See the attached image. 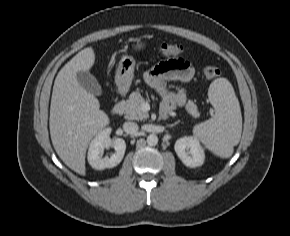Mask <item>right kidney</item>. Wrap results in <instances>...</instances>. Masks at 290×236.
<instances>
[{"label": "right kidney", "mask_w": 290, "mask_h": 236, "mask_svg": "<svg viewBox=\"0 0 290 236\" xmlns=\"http://www.w3.org/2000/svg\"><path fill=\"white\" fill-rule=\"evenodd\" d=\"M111 129L106 128L99 132L91 141L88 150V162L96 170H104L117 166L123 159L126 143L121 138L112 140L110 138ZM113 147L115 153L111 157H101L105 148Z\"/></svg>", "instance_id": "ca27d5eb"}]
</instances>
